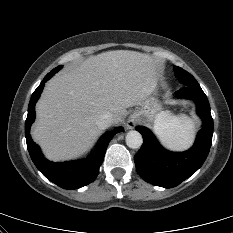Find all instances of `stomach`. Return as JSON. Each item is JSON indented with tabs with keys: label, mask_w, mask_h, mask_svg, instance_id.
Returning <instances> with one entry per match:
<instances>
[{
	"label": "stomach",
	"mask_w": 233,
	"mask_h": 233,
	"mask_svg": "<svg viewBox=\"0 0 233 233\" xmlns=\"http://www.w3.org/2000/svg\"><path fill=\"white\" fill-rule=\"evenodd\" d=\"M161 109V103L156 98L150 97L139 104L134 113L144 122L151 123L157 119Z\"/></svg>",
	"instance_id": "1"
}]
</instances>
